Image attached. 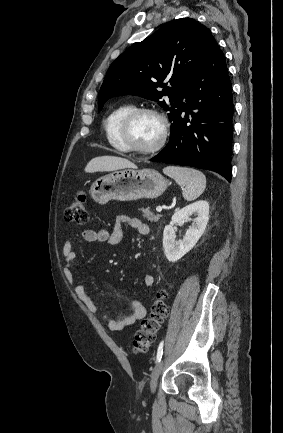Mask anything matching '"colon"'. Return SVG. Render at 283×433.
<instances>
[{
	"label": "colon",
	"mask_w": 283,
	"mask_h": 433,
	"mask_svg": "<svg viewBox=\"0 0 283 433\" xmlns=\"http://www.w3.org/2000/svg\"><path fill=\"white\" fill-rule=\"evenodd\" d=\"M65 218L80 226L87 223L88 209L85 192L78 191L73 196L65 212ZM166 297L167 294L164 290L157 291L150 315L142 320L140 328L135 334L132 343V350L135 353L147 352L154 343L161 324L168 315Z\"/></svg>",
	"instance_id": "obj_1"
}]
</instances>
